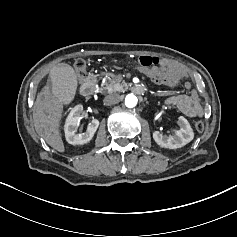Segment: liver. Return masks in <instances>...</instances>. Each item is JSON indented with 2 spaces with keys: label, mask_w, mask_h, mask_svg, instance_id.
Returning <instances> with one entry per match:
<instances>
[{
  "label": "liver",
  "mask_w": 237,
  "mask_h": 237,
  "mask_svg": "<svg viewBox=\"0 0 237 237\" xmlns=\"http://www.w3.org/2000/svg\"><path fill=\"white\" fill-rule=\"evenodd\" d=\"M45 99L38 94L34 103L33 124L39 137L59 153L65 152V146L60 134V122L63 114V105H60L49 90H45Z\"/></svg>",
  "instance_id": "1"
}]
</instances>
